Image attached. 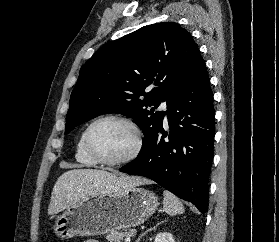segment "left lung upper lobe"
<instances>
[{
    "label": "left lung upper lobe",
    "instance_id": "1",
    "mask_svg": "<svg viewBox=\"0 0 279 242\" xmlns=\"http://www.w3.org/2000/svg\"><path fill=\"white\" fill-rule=\"evenodd\" d=\"M198 53L190 33L174 22L143 27L98 49L80 70L65 133L99 115L119 113L142 129L139 155L145 153L165 115L154 107L166 101L169 112Z\"/></svg>",
    "mask_w": 279,
    "mask_h": 242
}]
</instances>
